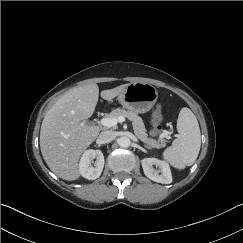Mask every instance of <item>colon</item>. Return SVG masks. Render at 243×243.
Returning <instances> with one entry per match:
<instances>
[{
	"mask_svg": "<svg viewBox=\"0 0 243 243\" xmlns=\"http://www.w3.org/2000/svg\"><path fill=\"white\" fill-rule=\"evenodd\" d=\"M151 123H152L151 134L153 136H158L162 131L161 114H160L159 109L155 110L154 115H153L152 120H151Z\"/></svg>",
	"mask_w": 243,
	"mask_h": 243,
	"instance_id": "colon-1",
	"label": "colon"
}]
</instances>
